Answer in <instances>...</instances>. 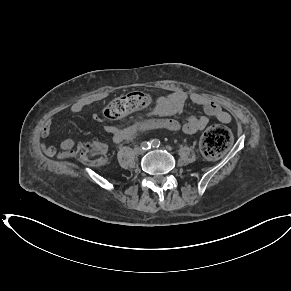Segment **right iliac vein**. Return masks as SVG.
Here are the masks:
<instances>
[{
	"label": "right iliac vein",
	"instance_id": "right-iliac-vein-1",
	"mask_svg": "<svg viewBox=\"0 0 291 291\" xmlns=\"http://www.w3.org/2000/svg\"><path fill=\"white\" fill-rule=\"evenodd\" d=\"M134 151H135V153L138 154V155L143 154V150H142L141 148H138V147H137V148H135Z\"/></svg>",
	"mask_w": 291,
	"mask_h": 291
}]
</instances>
